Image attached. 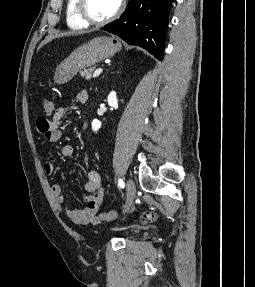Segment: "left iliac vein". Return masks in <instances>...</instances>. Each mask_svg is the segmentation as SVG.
<instances>
[{
  "label": "left iliac vein",
  "mask_w": 255,
  "mask_h": 287,
  "mask_svg": "<svg viewBox=\"0 0 255 287\" xmlns=\"http://www.w3.org/2000/svg\"><path fill=\"white\" fill-rule=\"evenodd\" d=\"M126 189H127V196H126L125 211L129 210L130 206L132 205L134 201V197L136 194L135 183L132 179H128L127 184H126Z\"/></svg>",
  "instance_id": "left-iliac-vein-1"
}]
</instances>
